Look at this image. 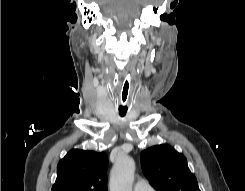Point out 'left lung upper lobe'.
Returning <instances> with one entry per match:
<instances>
[{
  "instance_id": "5c2ea615",
  "label": "left lung upper lobe",
  "mask_w": 245,
  "mask_h": 191,
  "mask_svg": "<svg viewBox=\"0 0 245 191\" xmlns=\"http://www.w3.org/2000/svg\"><path fill=\"white\" fill-rule=\"evenodd\" d=\"M141 166L158 191H200L186 157L169 145H157L141 153Z\"/></svg>"
}]
</instances>
